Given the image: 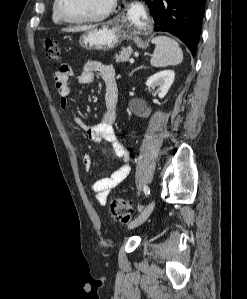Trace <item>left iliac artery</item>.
Returning a JSON list of instances; mask_svg holds the SVG:
<instances>
[{
    "label": "left iliac artery",
    "mask_w": 247,
    "mask_h": 299,
    "mask_svg": "<svg viewBox=\"0 0 247 299\" xmlns=\"http://www.w3.org/2000/svg\"><path fill=\"white\" fill-rule=\"evenodd\" d=\"M143 190H144L145 195L149 196V194H150V188L148 186H144Z\"/></svg>",
    "instance_id": "left-iliac-artery-1"
}]
</instances>
